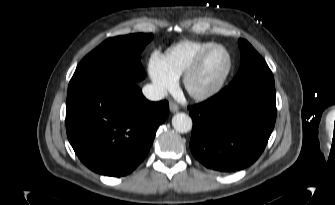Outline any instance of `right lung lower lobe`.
Listing matches in <instances>:
<instances>
[{"label":"right lung lower lobe","instance_id":"1","mask_svg":"<svg viewBox=\"0 0 335 205\" xmlns=\"http://www.w3.org/2000/svg\"><path fill=\"white\" fill-rule=\"evenodd\" d=\"M168 112L166 100L148 101L136 84L92 82L68 91L66 132L89 169L119 177L147 156Z\"/></svg>","mask_w":335,"mask_h":205}]
</instances>
